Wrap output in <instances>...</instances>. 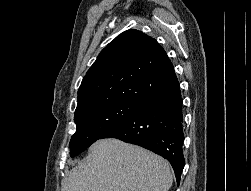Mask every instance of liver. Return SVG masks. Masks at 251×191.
<instances>
[{
	"label": "liver",
	"instance_id": "1",
	"mask_svg": "<svg viewBox=\"0 0 251 191\" xmlns=\"http://www.w3.org/2000/svg\"><path fill=\"white\" fill-rule=\"evenodd\" d=\"M170 163L139 145L98 139L83 161L69 171L62 191H168Z\"/></svg>",
	"mask_w": 251,
	"mask_h": 191
}]
</instances>
